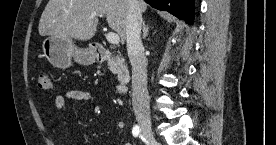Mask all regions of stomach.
<instances>
[{
	"label": "stomach",
	"mask_w": 276,
	"mask_h": 145,
	"mask_svg": "<svg viewBox=\"0 0 276 145\" xmlns=\"http://www.w3.org/2000/svg\"><path fill=\"white\" fill-rule=\"evenodd\" d=\"M44 56L55 67L66 69L70 67L72 59L82 65L95 62L96 51L93 47L78 48L70 37L50 35L42 42Z\"/></svg>",
	"instance_id": "stomach-1"
}]
</instances>
